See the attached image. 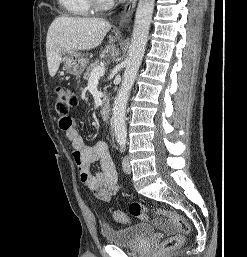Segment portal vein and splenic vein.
Returning a JSON list of instances; mask_svg holds the SVG:
<instances>
[{
    "label": "portal vein and splenic vein",
    "mask_w": 247,
    "mask_h": 257,
    "mask_svg": "<svg viewBox=\"0 0 247 257\" xmlns=\"http://www.w3.org/2000/svg\"><path fill=\"white\" fill-rule=\"evenodd\" d=\"M105 73V68L104 66H97L93 69V71L91 72L90 78H89V82L91 81H98L100 79V77H103Z\"/></svg>",
    "instance_id": "18ae733b"
}]
</instances>
